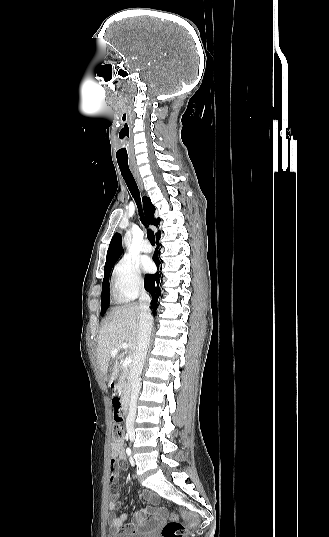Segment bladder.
<instances>
[{
    "label": "bladder",
    "mask_w": 329,
    "mask_h": 537,
    "mask_svg": "<svg viewBox=\"0 0 329 537\" xmlns=\"http://www.w3.org/2000/svg\"><path fill=\"white\" fill-rule=\"evenodd\" d=\"M107 537H153L151 533H124L115 530H109Z\"/></svg>",
    "instance_id": "obj_1"
}]
</instances>
